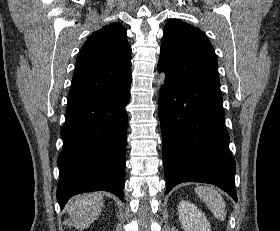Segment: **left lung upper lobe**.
Returning <instances> with one entry per match:
<instances>
[{
	"label": "left lung upper lobe",
	"instance_id": "obj_1",
	"mask_svg": "<svg viewBox=\"0 0 280 231\" xmlns=\"http://www.w3.org/2000/svg\"><path fill=\"white\" fill-rule=\"evenodd\" d=\"M158 69L182 84L220 87L218 62L208 38L198 28L179 20L164 28Z\"/></svg>",
	"mask_w": 280,
	"mask_h": 231
}]
</instances>
